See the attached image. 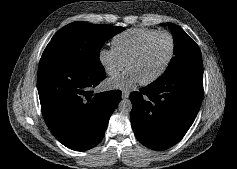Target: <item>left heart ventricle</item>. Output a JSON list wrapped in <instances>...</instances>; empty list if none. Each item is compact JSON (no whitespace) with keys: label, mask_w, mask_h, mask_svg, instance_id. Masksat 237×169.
<instances>
[{"label":"left heart ventricle","mask_w":237,"mask_h":169,"mask_svg":"<svg viewBox=\"0 0 237 169\" xmlns=\"http://www.w3.org/2000/svg\"><path fill=\"white\" fill-rule=\"evenodd\" d=\"M170 48L171 42L167 35L155 37L142 54L131 62L129 70L135 73L139 81L151 77L165 64Z\"/></svg>","instance_id":"obj_1"}]
</instances>
